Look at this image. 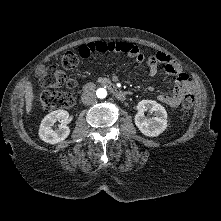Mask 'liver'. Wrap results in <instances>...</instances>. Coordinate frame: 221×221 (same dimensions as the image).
I'll return each instance as SVG.
<instances>
[{
  "mask_svg": "<svg viewBox=\"0 0 221 221\" xmlns=\"http://www.w3.org/2000/svg\"><path fill=\"white\" fill-rule=\"evenodd\" d=\"M34 100L33 87L30 82L25 85V101H26V111L29 114L32 109V101Z\"/></svg>",
  "mask_w": 221,
  "mask_h": 221,
  "instance_id": "6515ba94",
  "label": "liver"
}]
</instances>
